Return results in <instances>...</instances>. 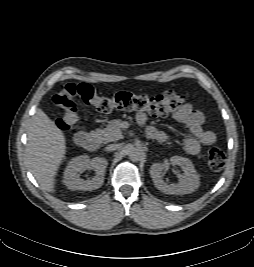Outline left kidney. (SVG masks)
<instances>
[{
	"instance_id": "obj_1",
	"label": "left kidney",
	"mask_w": 254,
	"mask_h": 267,
	"mask_svg": "<svg viewBox=\"0 0 254 267\" xmlns=\"http://www.w3.org/2000/svg\"><path fill=\"white\" fill-rule=\"evenodd\" d=\"M170 162L173 165L180 166L184 173L178 174L179 181L177 184H167L162 179L163 164L154 163L150 167V175L155 187L161 192L171 195H183L195 191L199 187L200 181L192 162L181 156L171 157Z\"/></svg>"
}]
</instances>
